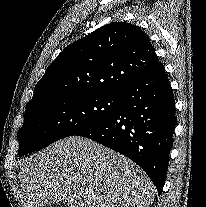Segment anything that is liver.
<instances>
[{"label": "liver", "mask_w": 206, "mask_h": 207, "mask_svg": "<svg viewBox=\"0 0 206 207\" xmlns=\"http://www.w3.org/2000/svg\"><path fill=\"white\" fill-rule=\"evenodd\" d=\"M28 207H149L150 178L127 157L81 136H70L30 156L19 172Z\"/></svg>", "instance_id": "obj_1"}]
</instances>
